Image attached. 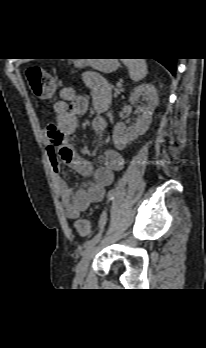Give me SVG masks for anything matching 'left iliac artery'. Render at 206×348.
<instances>
[{
  "instance_id": "left-iliac-artery-1",
  "label": "left iliac artery",
  "mask_w": 206,
  "mask_h": 348,
  "mask_svg": "<svg viewBox=\"0 0 206 348\" xmlns=\"http://www.w3.org/2000/svg\"><path fill=\"white\" fill-rule=\"evenodd\" d=\"M116 196L115 190L113 188L109 189V197L114 198ZM107 220V213L106 212H101V219H100V231L89 241H87L86 246H90L94 243H97L101 236H102V230L104 227V224L106 223Z\"/></svg>"
}]
</instances>
